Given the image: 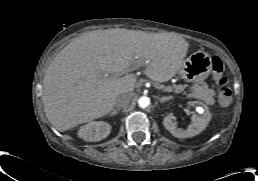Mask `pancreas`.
I'll return each mask as SVG.
<instances>
[{"instance_id":"cf45deb5","label":"pancreas","mask_w":258,"mask_h":181,"mask_svg":"<svg viewBox=\"0 0 258 181\" xmlns=\"http://www.w3.org/2000/svg\"><path fill=\"white\" fill-rule=\"evenodd\" d=\"M171 89H172V91L174 92V93H176V94H179V93H183V94H186V92H185V89H186V87H187V85L186 84H184V85H182V84H180V85H173V86H169Z\"/></svg>"}]
</instances>
